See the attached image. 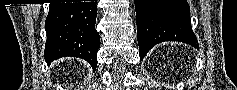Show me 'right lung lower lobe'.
Instances as JSON below:
<instances>
[{
	"label": "right lung lower lobe",
	"mask_w": 237,
	"mask_h": 90,
	"mask_svg": "<svg viewBox=\"0 0 237 90\" xmlns=\"http://www.w3.org/2000/svg\"><path fill=\"white\" fill-rule=\"evenodd\" d=\"M97 2L49 5L45 21V60L49 65L62 57L82 58L97 66L100 36L95 30Z\"/></svg>",
	"instance_id": "98d812e1"
}]
</instances>
